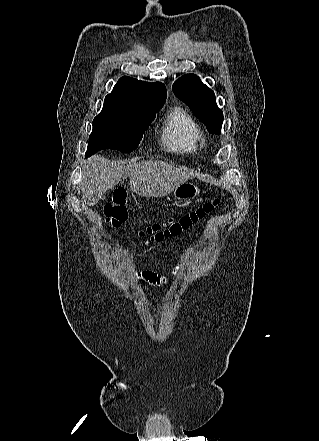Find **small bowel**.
<instances>
[{"label":"small bowel","mask_w":319,"mask_h":441,"mask_svg":"<svg viewBox=\"0 0 319 441\" xmlns=\"http://www.w3.org/2000/svg\"><path fill=\"white\" fill-rule=\"evenodd\" d=\"M179 272V268L176 270V274ZM137 278L142 283L154 287V288H160L169 283V279L160 277L154 272L151 271H143L137 274Z\"/></svg>","instance_id":"small-bowel-1"}]
</instances>
